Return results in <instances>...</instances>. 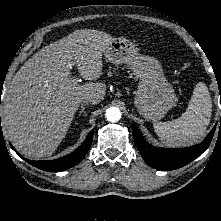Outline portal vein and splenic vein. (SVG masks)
Listing matches in <instances>:
<instances>
[{"label":"portal vein and splenic vein","instance_id":"18ae733b","mask_svg":"<svg viewBox=\"0 0 221 221\" xmlns=\"http://www.w3.org/2000/svg\"><path fill=\"white\" fill-rule=\"evenodd\" d=\"M72 83L73 84H77L78 83V79L77 78H73Z\"/></svg>","mask_w":221,"mask_h":221}]
</instances>
